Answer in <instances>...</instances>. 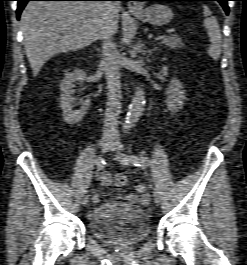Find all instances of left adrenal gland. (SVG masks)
I'll list each match as a JSON object with an SVG mask.
<instances>
[{
  "label": "left adrenal gland",
  "instance_id": "a2214340",
  "mask_svg": "<svg viewBox=\"0 0 247 265\" xmlns=\"http://www.w3.org/2000/svg\"><path fill=\"white\" fill-rule=\"evenodd\" d=\"M153 52H154V49H151V50H148V51H146V50L143 51V55L146 57V60L148 62H150V57H151Z\"/></svg>",
  "mask_w": 247,
  "mask_h": 265
}]
</instances>
